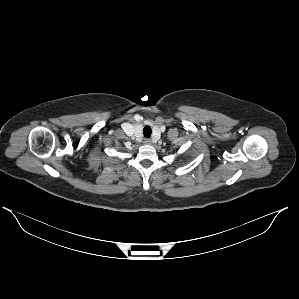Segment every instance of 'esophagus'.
<instances>
[{
  "mask_svg": "<svg viewBox=\"0 0 299 299\" xmlns=\"http://www.w3.org/2000/svg\"><path fill=\"white\" fill-rule=\"evenodd\" d=\"M144 144H145V145H149V144H151V140H150L149 138H145V139H144Z\"/></svg>",
  "mask_w": 299,
  "mask_h": 299,
  "instance_id": "34e87169",
  "label": "esophagus"
}]
</instances>
